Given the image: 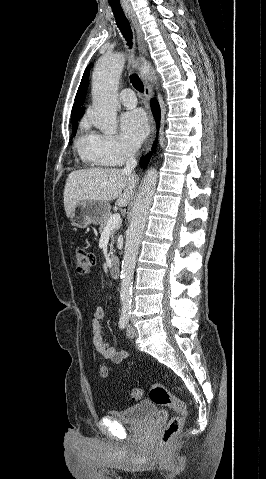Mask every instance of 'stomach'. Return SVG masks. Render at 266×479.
<instances>
[{"instance_id": "1", "label": "stomach", "mask_w": 266, "mask_h": 479, "mask_svg": "<svg viewBox=\"0 0 266 479\" xmlns=\"http://www.w3.org/2000/svg\"><path fill=\"white\" fill-rule=\"evenodd\" d=\"M110 212V204L99 200H85L76 204L70 214L71 224L76 228H86L99 224Z\"/></svg>"}]
</instances>
